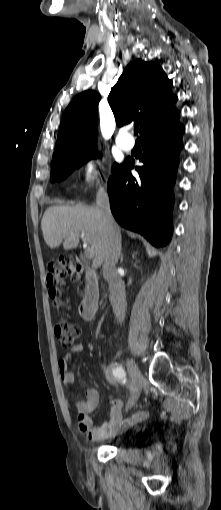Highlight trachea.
I'll return each mask as SVG.
<instances>
[{"mask_svg":"<svg viewBox=\"0 0 221 510\" xmlns=\"http://www.w3.org/2000/svg\"><path fill=\"white\" fill-rule=\"evenodd\" d=\"M138 132H139V127H135L134 129V134L137 136L138 135Z\"/></svg>","mask_w":221,"mask_h":510,"instance_id":"obj_1","label":"trachea"}]
</instances>
